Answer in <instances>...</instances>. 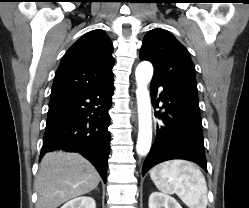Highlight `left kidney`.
Wrapping results in <instances>:
<instances>
[{"instance_id":"left-kidney-1","label":"left kidney","mask_w":249,"mask_h":208,"mask_svg":"<svg viewBox=\"0 0 249 208\" xmlns=\"http://www.w3.org/2000/svg\"><path fill=\"white\" fill-rule=\"evenodd\" d=\"M149 208H182V206L169 195L153 192L149 197Z\"/></svg>"}]
</instances>
